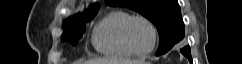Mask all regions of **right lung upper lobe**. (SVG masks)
I'll return each instance as SVG.
<instances>
[{
    "label": "right lung upper lobe",
    "instance_id": "right-lung-upper-lobe-1",
    "mask_svg": "<svg viewBox=\"0 0 242 64\" xmlns=\"http://www.w3.org/2000/svg\"><path fill=\"white\" fill-rule=\"evenodd\" d=\"M99 8H100V5L98 3H95L93 6L90 7V9L88 11L84 12L83 14H78V15H75V16L65 20L64 25L65 24L69 25V24L75 23V22L79 21L81 18H83L84 16L98 11Z\"/></svg>",
    "mask_w": 242,
    "mask_h": 64
}]
</instances>
